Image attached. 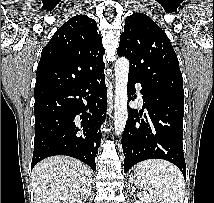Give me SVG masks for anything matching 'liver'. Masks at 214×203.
Listing matches in <instances>:
<instances>
[{"instance_id": "6515ba94", "label": "liver", "mask_w": 214, "mask_h": 203, "mask_svg": "<svg viewBox=\"0 0 214 203\" xmlns=\"http://www.w3.org/2000/svg\"><path fill=\"white\" fill-rule=\"evenodd\" d=\"M35 203H84L91 194V172L79 160L52 156L32 171Z\"/></svg>"}]
</instances>
